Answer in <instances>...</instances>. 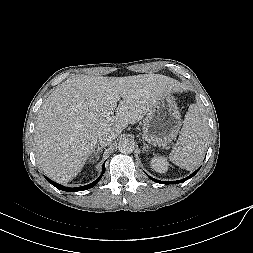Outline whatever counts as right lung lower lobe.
<instances>
[{
	"instance_id": "obj_1",
	"label": "right lung lower lobe",
	"mask_w": 253,
	"mask_h": 253,
	"mask_svg": "<svg viewBox=\"0 0 253 253\" xmlns=\"http://www.w3.org/2000/svg\"><path fill=\"white\" fill-rule=\"evenodd\" d=\"M105 172V165H103V171H102V174L100 175V177L95 180L94 182L88 184V185H85V186H81V187H76V188H69V187H65V186H62L58 183H55L54 181L50 180L49 178L45 177L47 179V181L49 183H51L53 186H55L56 188L60 189V190H63V191H68V192H74V191H83V190H87L89 188H92L93 186H95L98 181L100 180V178L102 177L103 173Z\"/></svg>"
}]
</instances>
